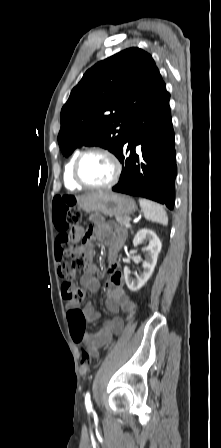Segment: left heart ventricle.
I'll list each match as a JSON object with an SVG mask.
<instances>
[{"mask_svg": "<svg viewBox=\"0 0 221 448\" xmlns=\"http://www.w3.org/2000/svg\"><path fill=\"white\" fill-rule=\"evenodd\" d=\"M80 175L89 184H105L113 176L111 161L102 154H90L81 163Z\"/></svg>", "mask_w": 221, "mask_h": 448, "instance_id": "obj_1", "label": "left heart ventricle"}]
</instances>
